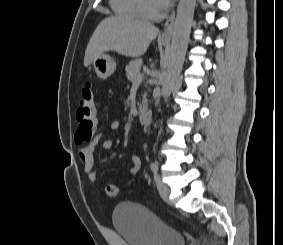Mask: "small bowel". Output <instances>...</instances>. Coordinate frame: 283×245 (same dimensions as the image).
Returning a JSON list of instances; mask_svg holds the SVG:
<instances>
[{
  "label": "small bowel",
  "instance_id": "small-bowel-1",
  "mask_svg": "<svg viewBox=\"0 0 283 245\" xmlns=\"http://www.w3.org/2000/svg\"><path fill=\"white\" fill-rule=\"evenodd\" d=\"M121 127V123L118 120L113 121L109 127L97 134V136L86 146L82 147L79 151V157L82 162L83 171L87 176L89 183L96 187L98 177L94 171V151L96 146L101 143V146L104 150H110L113 147V142L110 139L105 138L109 134L117 131ZM131 168L130 173L132 175H137L141 169V160L138 156L132 155L130 157Z\"/></svg>",
  "mask_w": 283,
  "mask_h": 245
}]
</instances>
